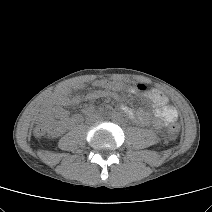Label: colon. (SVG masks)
<instances>
[{
  "label": "colon",
  "instance_id": "5ec220e1",
  "mask_svg": "<svg viewBox=\"0 0 212 212\" xmlns=\"http://www.w3.org/2000/svg\"><path fill=\"white\" fill-rule=\"evenodd\" d=\"M137 88L139 90H144L146 89V86L139 84ZM98 89L102 91L103 93H110L112 91V84L108 82L107 80H100L98 82ZM52 131H53V125L51 121L49 120H42L38 122L33 128V133L37 137L45 136L46 134ZM178 131H179L178 125L172 124L168 130L169 136L175 137L178 134Z\"/></svg>",
  "mask_w": 212,
  "mask_h": 212
}]
</instances>
